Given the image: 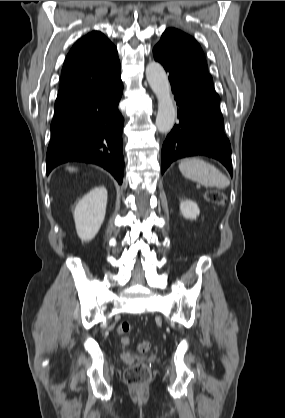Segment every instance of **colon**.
<instances>
[{
    "instance_id": "colon-1",
    "label": "colon",
    "mask_w": 285,
    "mask_h": 418,
    "mask_svg": "<svg viewBox=\"0 0 285 418\" xmlns=\"http://www.w3.org/2000/svg\"><path fill=\"white\" fill-rule=\"evenodd\" d=\"M206 197L218 204H222L225 200L223 193L218 191H209L206 193ZM131 330V324L128 321H123L117 328L118 335L121 337L123 344L129 343L128 333ZM138 350L140 352H147L150 349V343L146 340L141 341L138 344ZM151 378V369L145 363H136L127 368L124 372V380L129 386H142L147 384Z\"/></svg>"
}]
</instances>
